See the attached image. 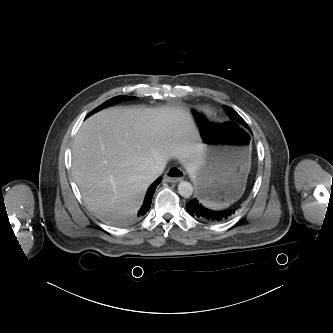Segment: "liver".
<instances>
[{
    "label": "liver",
    "mask_w": 333,
    "mask_h": 333,
    "mask_svg": "<svg viewBox=\"0 0 333 333\" xmlns=\"http://www.w3.org/2000/svg\"><path fill=\"white\" fill-rule=\"evenodd\" d=\"M180 107L113 108L88 118L72 147V173L90 210L107 219L137 213L152 180L149 167L178 159L193 175L202 163L201 143Z\"/></svg>",
    "instance_id": "1"
}]
</instances>
